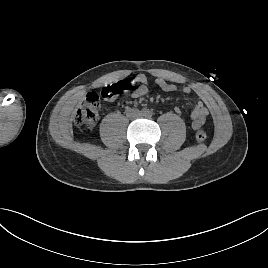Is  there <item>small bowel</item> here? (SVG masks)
<instances>
[{
	"instance_id": "c3829d8e",
	"label": "small bowel",
	"mask_w": 268,
	"mask_h": 268,
	"mask_svg": "<svg viewBox=\"0 0 268 268\" xmlns=\"http://www.w3.org/2000/svg\"><path fill=\"white\" fill-rule=\"evenodd\" d=\"M133 78L135 79V83H138L139 85L132 91L131 93L132 98L142 97L151 90L149 79L147 76L136 75V76H133ZM155 84L160 89L166 92H180L186 95L192 92V89L189 86L179 87L171 82L166 81L163 78H156ZM175 111L179 112L180 110L179 108H175ZM208 115H209V111L204 105V103L202 101H198L195 104V107L190 116L192 129L197 130L201 128L204 125Z\"/></svg>"
}]
</instances>
